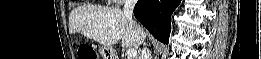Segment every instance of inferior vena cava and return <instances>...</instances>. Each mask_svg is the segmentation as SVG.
I'll list each match as a JSON object with an SVG mask.
<instances>
[{
    "label": "inferior vena cava",
    "mask_w": 261,
    "mask_h": 59,
    "mask_svg": "<svg viewBox=\"0 0 261 59\" xmlns=\"http://www.w3.org/2000/svg\"><path fill=\"white\" fill-rule=\"evenodd\" d=\"M136 2H137V0H125L124 1L123 13L128 20H132L133 11H134ZM140 59H151V53L146 47H144L142 49Z\"/></svg>",
    "instance_id": "1"
}]
</instances>
